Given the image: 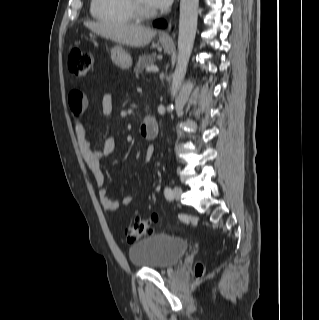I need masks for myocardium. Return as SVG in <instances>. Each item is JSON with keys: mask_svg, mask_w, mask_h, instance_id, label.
<instances>
[{"mask_svg": "<svg viewBox=\"0 0 319 320\" xmlns=\"http://www.w3.org/2000/svg\"><path fill=\"white\" fill-rule=\"evenodd\" d=\"M129 8L133 13L134 17L138 20H146L154 17L157 12L154 9L146 8L141 0H127Z\"/></svg>", "mask_w": 319, "mask_h": 320, "instance_id": "obj_1", "label": "myocardium"}]
</instances>
